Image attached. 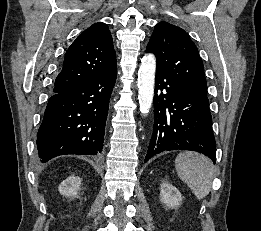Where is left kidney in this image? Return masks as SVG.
Wrapping results in <instances>:
<instances>
[{"instance_id": "5707ae66", "label": "left kidney", "mask_w": 261, "mask_h": 231, "mask_svg": "<svg viewBox=\"0 0 261 231\" xmlns=\"http://www.w3.org/2000/svg\"><path fill=\"white\" fill-rule=\"evenodd\" d=\"M160 199L168 208H177L183 200L180 191L169 183L161 184Z\"/></svg>"}]
</instances>
